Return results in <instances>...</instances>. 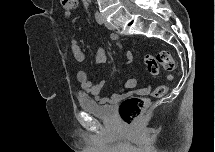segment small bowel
Masks as SVG:
<instances>
[{
  "label": "small bowel",
  "instance_id": "obj_1",
  "mask_svg": "<svg viewBox=\"0 0 215 152\" xmlns=\"http://www.w3.org/2000/svg\"><path fill=\"white\" fill-rule=\"evenodd\" d=\"M111 39L115 42L118 41V37L115 34L111 35ZM71 51L76 61L78 62L84 61L85 53L76 39L72 40L71 42ZM125 57L128 63L132 62V54L130 52H128L125 55ZM94 61L97 64H102L107 61V52L105 48L101 47L96 50L94 54ZM76 78L80 84L82 92L84 94L93 96L100 103L114 102L120 99L124 95V94H114L110 98L101 97L100 93L105 85V81L101 80L97 83H93L89 79L88 74L83 70H80L77 72ZM125 86L130 91V93L136 94V95L146 94L150 90L149 85L139 87L138 81L135 77L129 78Z\"/></svg>",
  "mask_w": 215,
  "mask_h": 152
}]
</instances>
